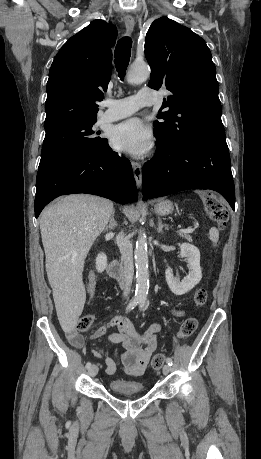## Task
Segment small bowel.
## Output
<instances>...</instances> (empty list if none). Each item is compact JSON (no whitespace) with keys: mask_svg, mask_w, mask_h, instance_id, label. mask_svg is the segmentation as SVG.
I'll use <instances>...</instances> for the list:
<instances>
[{"mask_svg":"<svg viewBox=\"0 0 261 459\" xmlns=\"http://www.w3.org/2000/svg\"><path fill=\"white\" fill-rule=\"evenodd\" d=\"M95 287V275L91 273L87 285L88 302L94 296ZM173 313L178 317L184 314L183 311H174ZM113 327L117 328L118 331L108 333V330ZM160 329V323L155 322L143 331H139L126 316L118 314L108 323L96 329L92 334V339L106 338L112 343L120 344L123 349L120 356L122 369L129 375L139 376L147 370L149 360L158 346L157 334ZM66 336L72 345L78 348L82 347L83 337L76 330H70ZM91 352L94 356L104 359L106 372L109 375H113L117 371L116 361L109 357L101 347L94 346Z\"/></svg>","mask_w":261,"mask_h":459,"instance_id":"1","label":"small bowel"}]
</instances>
